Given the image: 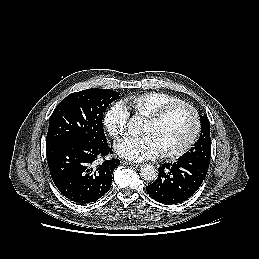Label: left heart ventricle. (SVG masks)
I'll return each mask as SVG.
<instances>
[{
  "mask_svg": "<svg viewBox=\"0 0 259 259\" xmlns=\"http://www.w3.org/2000/svg\"><path fill=\"white\" fill-rule=\"evenodd\" d=\"M194 119L186 108H179L158 124L144 122L141 134L148 135L158 152H169L179 148L191 135Z\"/></svg>",
  "mask_w": 259,
  "mask_h": 259,
  "instance_id": "obj_1",
  "label": "left heart ventricle"
}]
</instances>
